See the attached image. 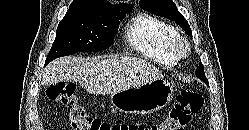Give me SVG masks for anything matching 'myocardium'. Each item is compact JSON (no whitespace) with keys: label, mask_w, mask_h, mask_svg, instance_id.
Masks as SVG:
<instances>
[{"label":"myocardium","mask_w":249,"mask_h":130,"mask_svg":"<svg viewBox=\"0 0 249 130\" xmlns=\"http://www.w3.org/2000/svg\"><path fill=\"white\" fill-rule=\"evenodd\" d=\"M172 53L178 58H186L191 52L189 40L180 34H177L170 44Z\"/></svg>","instance_id":"myocardium-1"}]
</instances>
